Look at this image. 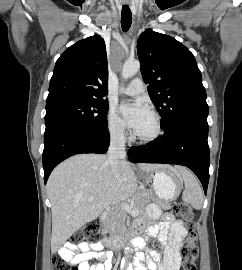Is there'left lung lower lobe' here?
Returning a JSON list of instances; mask_svg holds the SVG:
<instances>
[{"label":"left lung lower lobe","instance_id":"0a47b994","mask_svg":"<svg viewBox=\"0 0 242 270\" xmlns=\"http://www.w3.org/2000/svg\"><path fill=\"white\" fill-rule=\"evenodd\" d=\"M164 132L150 148L129 149L130 161L186 166L197 175L206 194L210 165L207 118L183 119Z\"/></svg>","mask_w":242,"mask_h":270}]
</instances>
